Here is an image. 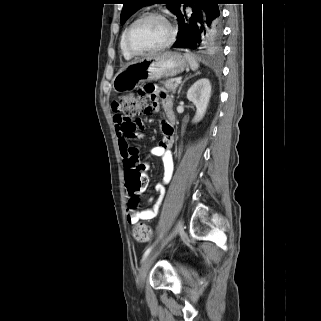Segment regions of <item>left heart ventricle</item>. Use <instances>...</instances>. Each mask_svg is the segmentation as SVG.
<instances>
[{
	"label": "left heart ventricle",
	"instance_id": "1",
	"mask_svg": "<svg viewBox=\"0 0 321 321\" xmlns=\"http://www.w3.org/2000/svg\"><path fill=\"white\" fill-rule=\"evenodd\" d=\"M168 36L169 30L164 21L158 18H147L132 29L129 44L135 51H146L164 43Z\"/></svg>",
	"mask_w": 321,
	"mask_h": 321
}]
</instances>
